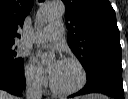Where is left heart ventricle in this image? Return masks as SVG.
<instances>
[{
	"label": "left heart ventricle",
	"mask_w": 128,
	"mask_h": 99,
	"mask_svg": "<svg viewBox=\"0 0 128 99\" xmlns=\"http://www.w3.org/2000/svg\"><path fill=\"white\" fill-rule=\"evenodd\" d=\"M80 79L81 73L78 67L74 63L62 61L52 82L57 88L66 90L75 87Z\"/></svg>",
	"instance_id": "left-heart-ventricle-1"
}]
</instances>
